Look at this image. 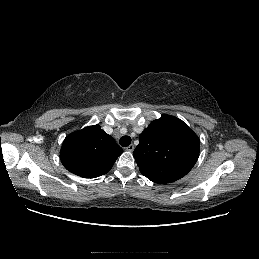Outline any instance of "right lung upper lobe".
<instances>
[{"instance_id": "right-lung-upper-lobe-1", "label": "right lung upper lobe", "mask_w": 259, "mask_h": 259, "mask_svg": "<svg viewBox=\"0 0 259 259\" xmlns=\"http://www.w3.org/2000/svg\"><path fill=\"white\" fill-rule=\"evenodd\" d=\"M123 150L99 125L69 134L60 151L64 167L78 176L95 178L106 174Z\"/></svg>"}]
</instances>
